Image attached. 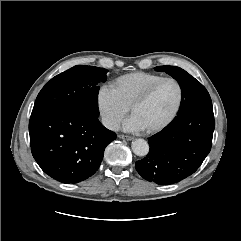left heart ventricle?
Masks as SVG:
<instances>
[{
  "instance_id": "b2bd125f",
  "label": "left heart ventricle",
  "mask_w": 241,
  "mask_h": 241,
  "mask_svg": "<svg viewBox=\"0 0 241 241\" xmlns=\"http://www.w3.org/2000/svg\"><path fill=\"white\" fill-rule=\"evenodd\" d=\"M178 99V89L173 82L162 83L142 105L135 108L133 115L146 129L162 123L173 111Z\"/></svg>"
}]
</instances>
